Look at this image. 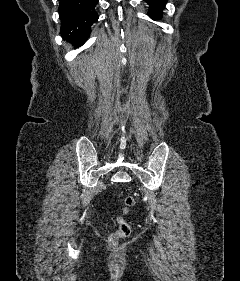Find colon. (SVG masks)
<instances>
[{
  "mask_svg": "<svg viewBox=\"0 0 240 281\" xmlns=\"http://www.w3.org/2000/svg\"><path fill=\"white\" fill-rule=\"evenodd\" d=\"M135 205V198L127 195L123 198V204L117 217L118 228L110 238V245L116 247L119 242L127 238L130 234V226L126 222L125 217L129 214L131 208Z\"/></svg>",
  "mask_w": 240,
  "mask_h": 281,
  "instance_id": "5ec220e1",
  "label": "colon"
}]
</instances>
